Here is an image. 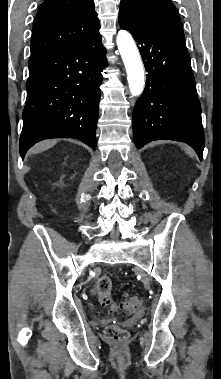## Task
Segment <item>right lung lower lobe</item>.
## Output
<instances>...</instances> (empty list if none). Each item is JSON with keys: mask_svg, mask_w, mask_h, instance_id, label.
Returning a JSON list of instances; mask_svg holds the SVG:
<instances>
[{"mask_svg": "<svg viewBox=\"0 0 221 379\" xmlns=\"http://www.w3.org/2000/svg\"><path fill=\"white\" fill-rule=\"evenodd\" d=\"M98 30L76 45L28 62L22 158L48 138H77L96 149L101 71L108 65Z\"/></svg>", "mask_w": 221, "mask_h": 379, "instance_id": "1", "label": "right lung lower lobe"}]
</instances>
